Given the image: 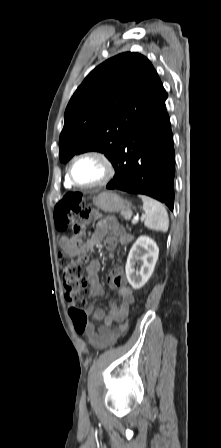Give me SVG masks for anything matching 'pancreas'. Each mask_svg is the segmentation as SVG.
<instances>
[{
    "label": "pancreas",
    "instance_id": "1",
    "mask_svg": "<svg viewBox=\"0 0 221 448\" xmlns=\"http://www.w3.org/2000/svg\"><path fill=\"white\" fill-rule=\"evenodd\" d=\"M122 215L125 219H128L130 217V215H128V214H122Z\"/></svg>",
    "mask_w": 221,
    "mask_h": 448
}]
</instances>
